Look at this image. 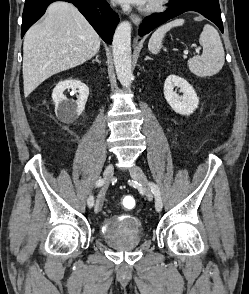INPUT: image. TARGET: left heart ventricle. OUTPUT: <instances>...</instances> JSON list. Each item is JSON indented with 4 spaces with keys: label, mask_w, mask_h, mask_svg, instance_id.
<instances>
[{
    "label": "left heart ventricle",
    "mask_w": 249,
    "mask_h": 294,
    "mask_svg": "<svg viewBox=\"0 0 249 294\" xmlns=\"http://www.w3.org/2000/svg\"><path fill=\"white\" fill-rule=\"evenodd\" d=\"M150 1H153V0H148L147 3H149Z\"/></svg>",
    "instance_id": "left-heart-ventricle-1"
}]
</instances>
